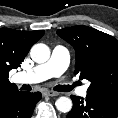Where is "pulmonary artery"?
<instances>
[{
	"mask_svg": "<svg viewBox=\"0 0 118 118\" xmlns=\"http://www.w3.org/2000/svg\"><path fill=\"white\" fill-rule=\"evenodd\" d=\"M69 62L70 56L68 50L61 45H57L53 48L48 61L30 70L15 74L13 80L15 83L19 84H31L39 83L52 77H58L66 71ZM76 92L79 96L85 97L87 94V87H79Z\"/></svg>",
	"mask_w": 118,
	"mask_h": 118,
	"instance_id": "obj_1",
	"label": "pulmonary artery"
}]
</instances>
